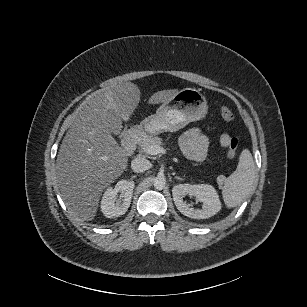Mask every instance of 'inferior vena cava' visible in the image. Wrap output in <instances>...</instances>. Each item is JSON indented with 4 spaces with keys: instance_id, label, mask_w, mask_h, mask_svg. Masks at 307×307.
<instances>
[{
    "instance_id": "inferior-vena-cava-1",
    "label": "inferior vena cava",
    "mask_w": 307,
    "mask_h": 307,
    "mask_svg": "<svg viewBox=\"0 0 307 307\" xmlns=\"http://www.w3.org/2000/svg\"><path fill=\"white\" fill-rule=\"evenodd\" d=\"M151 164L145 158H135L131 162V168L134 172L139 173L150 169Z\"/></svg>"
}]
</instances>
